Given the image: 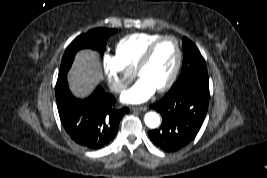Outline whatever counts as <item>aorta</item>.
Returning <instances> with one entry per match:
<instances>
[{
	"label": "aorta",
	"instance_id": "762f6f07",
	"mask_svg": "<svg viewBox=\"0 0 267 178\" xmlns=\"http://www.w3.org/2000/svg\"><path fill=\"white\" fill-rule=\"evenodd\" d=\"M144 122L149 128H156L160 124V116L156 112H148L144 116Z\"/></svg>",
	"mask_w": 267,
	"mask_h": 178
}]
</instances>
